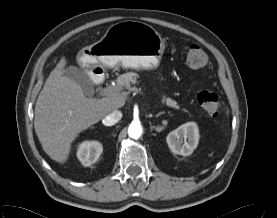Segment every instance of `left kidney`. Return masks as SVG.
I'll return each mask as SVG.
<instances>
[{"label":"left kidney","mask_w":277,"mask_h":218,"mask_svg":"<svg viewBox=\"0 0 277 218\" xmlns=\"http://www.w3.org/2000/svg\"><path fill=\"white\" fill-rule=\"evenodd\" d=\"M167 144L174 154L189 156L196 149L199 131L195 122H187L171 131L166 137Z\"/></svg>","instance_id":"left-kidney-1"}]
</instances>
